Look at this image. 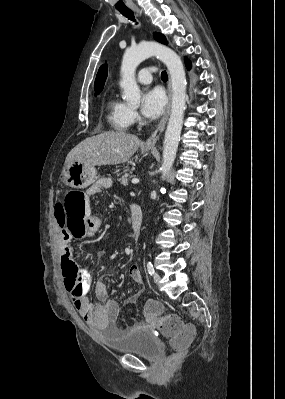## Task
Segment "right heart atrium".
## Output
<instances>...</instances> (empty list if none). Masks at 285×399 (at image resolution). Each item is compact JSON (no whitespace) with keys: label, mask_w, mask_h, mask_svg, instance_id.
<instances>
[{"label":"right heart atrium","mask_w":285,"mask_h":399,"mask_svg":"<svg viewBox=\"0 0 285 399\" xmlns=\"http://www.w3.org/2000/svg\"><path fill=\"white\" fill-rule=\"evenodd\" d=\"M138 113L136 110L134 109H130V116H129V120H130V124L136 122L138 120Z\"/></svg>","instance_id":"1"}]
</instances>
